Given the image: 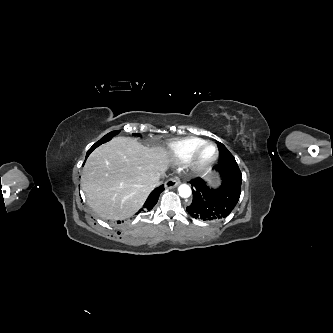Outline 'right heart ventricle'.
<instances>
[{"label": "right heart ventricle", "mask_w": 333, "mask_h": 333, "mask_svg": "<svg viewBox=\"0 0 333 333\" xmlns=\"http://www.w3.org/2000/svg\"><path fill=\"white\" fill-rule=\"evenodd\" d=\"M205 142L204 139L198 137H188L166 143L163 150L176 163L182 164L188 162L194 152Z\"/></svg>", "instance_id": "1"}]
</instances>
